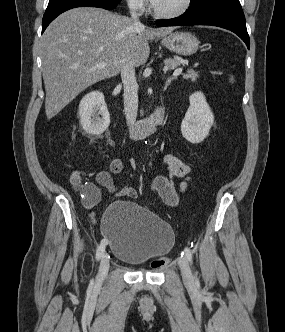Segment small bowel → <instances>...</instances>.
Segmentation results:
<instances>
[{"label": "small bowel", "mask_w": 285, "mask_h": 332, "mask_svg": "<svg viewBox=\"0 0 285 332\" xmlns=\"http://www.w3.org/2000/svg\"><path fill=\"white\" fill-rule=\"evenodd\" d=\"M163 163L167 164L172 176L183 178L189 173V167L173 154H166ZM123 169V163L120 158H115L110 163V172L100 171L96 175L98 185L106 188L117 197L136 198L137 191L133 187L125 186L118 188L114 185L111 174H120ZM70 183L75 191L81 194L83 205L87 209H92L100 201L99 188L89 181H86L79 170H73L70 175ZM186 188V182L180 184V190ZM151 190L158 195L170 207H176L178 204V193L171 180L166 176H156L151 183Z\"/></svg>", "instance_id": "c3829d8e"}]
</instances>
